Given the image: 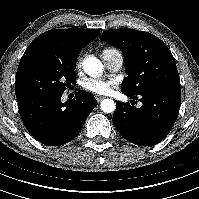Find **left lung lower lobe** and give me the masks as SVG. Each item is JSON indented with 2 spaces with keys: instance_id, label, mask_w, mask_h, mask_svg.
<instances>
[{
  "instance_id": "0a47b994",
  "label": "left lung lower lobe",
  "mask_w": 199,
  "mask_h": 199,
  "mask_svg": "<svg viewBox=\"0 0 199 199\" xmlns=\"http://www.w3.org/2000/svg\"><path fill=\"white\" fill-rule=\"evenodd\" d=\"M137 99V95L123 92ZM142 106L116 101L113 123L127 141L150 146L161 142L173 127L181 105V89H154L139 94Z\"/></svg>"
}]
</instances>
